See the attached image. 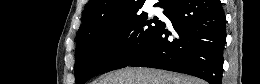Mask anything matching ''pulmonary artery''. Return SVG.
<instances>
[{"instance_id": "pulmonary-artery-1", "label": "pulmonary artery", "mask_w": 260, "mask_h": 84, "mask_svg": "<svg viewBox=\"0 0 260 84\" xmlns=\"http://www.w3.org/2000/svg\"><path fill=\"white\" fill-rule=\"evenodd\" d=\"M155 8H151V11L154 12Z\"/></svg>"}]
</instances>
